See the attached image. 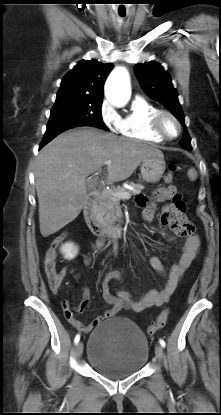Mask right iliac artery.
Listing matches in <instances>:
<instances>
[{"label": "right iliac artery", "mask_w": 221, "mask_h": 415, "mask_svg": "<svg viewBox=\"0 0 221 415\" xmlns=\"http://www.w3.org/2000/svg\"><path fill=\"white\" fill-rule=\"evenodd\" d=\"M79 340H80V335L77 334L75 339H74V343L77 344L79 342Z\"/></svg>", "instance_id": "1"}]
</instances>
